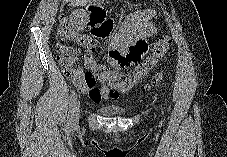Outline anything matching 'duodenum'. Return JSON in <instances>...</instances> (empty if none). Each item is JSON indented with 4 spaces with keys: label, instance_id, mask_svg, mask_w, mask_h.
<instances>
[{
    "label": "duodenum",
    "instance_id": "obj_1",
    "mask_svg": "<svg viewBox=\"0 0 227 157\" xmlns=\"http://www.w3.org/2000/svg\"><path fill=\"white\" fill-rule=\"evenodd\" d=\"M90 9H100L101 4H90ZM105 16H90L87 20V25H101V27H94V32H107V30H116V25H111Z\"/></svg>",
    "mask_w": 227,
    "mask_h": 157
}]
</instances>
